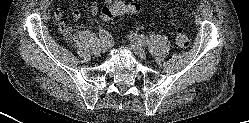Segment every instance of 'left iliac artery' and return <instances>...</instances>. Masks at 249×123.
<instances>
[{"label": "left iliac artery", "instance_id": "left-iliac-artery-1", "mask_svg": "<svg viewBox=\"0 0 249 123\" xmlns=\"http://www.w3.org/2000/svg\"><path fill=\"white\" fill-rule=\"evenodd\" d=\"M137 42L140 44V45H147L149 43V40L147 37H145L144 35L142 34H134L133 36Z\"/></svg>", "mask_w": 249, "mask_h": 123}]
</instances>
